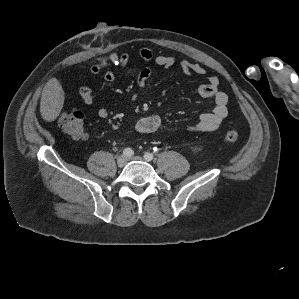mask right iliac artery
Masks as SVG:
<instances>
[{"label":"right iliac artery","mask_w":299,"mask_h":299,"mask_svg":"<svg viewBox=\"0 0 299 299\" xmlns=\"http://www.w3.org/2000/svg\"><path fill=\"white\" fill-rule=\"evenodd\" d=\"M123 155L126 157H131L134 155V151L131 148H125L123 150Z\"/></svg>","instance_id":"obj_1"}]
</instances>
